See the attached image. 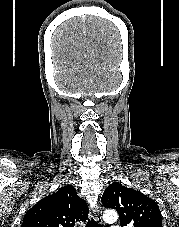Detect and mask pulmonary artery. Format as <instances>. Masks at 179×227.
<instances>
[{
    "label": "pulmonary artery",
    "instance_id": "obj_1",
    "mask_svg": "<svg viewBox=\"0 0 179 227\" xmlns=\"http://www.w3.org/2000/svg\"><path fill=\"white\" fill-rule=\"evenodd\" d=\"M111 227H121V226L118 225V224H114V225H112Z\"/></svg>",
    "mask_w": 179,
    "mask_h": 227
}]
</instances>
